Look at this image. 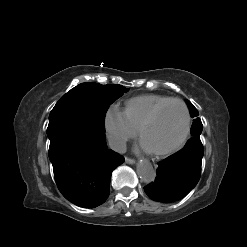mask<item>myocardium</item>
Masks as SVG:
<instances>
[{
  "label": "myocardium",
  "instance_id": "obj_1",
  "mask_svg": "<svg viewBox=\"0 0 247 247\" xmlns=\"http://www.w3.org/2000/svg\"><path fill=\"white\" fill-rule=\"evenodd\" d=\"M172 103H178L182 106L184 113H185V127H184V131L181 135V137L179 138V140L172 145L169 148H166L164 150H159V151H151L153 155L157 156V157H163L169 154L174 153L175 151H177L186 141L189 133H190V128H191V114L189 111V108L187 106V104L178 98H170L169 100L161 103L160 105H158L153 111L152 113L146 118V120L141 124V126L138 129V136L141 139L142 138V134L143 132L149 127L151 126L154 121L156 120V118L158 117V115L160 114V112L169 104Z\"/></svg>",
  "mask_w": 247,
  "mask_h": 247
}]
</instances>
